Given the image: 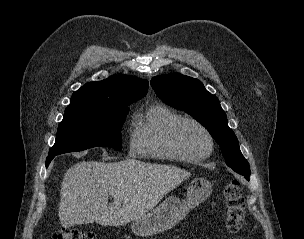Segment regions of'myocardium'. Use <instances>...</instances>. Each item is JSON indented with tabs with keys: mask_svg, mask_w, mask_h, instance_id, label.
Masks as SVG:
<instances>
[{
	"mask_svg": "<svg viewBox=\"0 0 304 239\" xmlns=\"http://www.w3.org/2000/svg\"><path fill=\"white\" fill-rule=\"evenodd\" d=\"M186 124H193L200 128L206 135L209 146L208 149L203 153H192L188 151L180 141V130ZM169 140L172 147L186 160L197 161L207 158L211 155L214 150L215 142L212 133L210 130L199 120L191 117H182L177 120L170 128L169 131Z\"/></svg>",
	"mask_w": 304,
	"mask_h": 239,
	"instance_id": "obj_1",
	"label": "myocardium"
}]
</instances>
